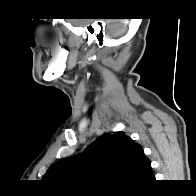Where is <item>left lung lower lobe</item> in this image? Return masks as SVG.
Listing matches in <instances>:
<instances>
[{
    "mask_svg": "<svg viewBox=\"0 0 196 196\" xmlns=\"http://www.w3.org/2000/svg\"><path fill=\"white\" fill-rule=\"evenodd\" d=\"M154 180H155V177L151 170V163L150 161H147L144 164L143 168L141 169L135 183L147 184V183L154 182Z\"/></svg>",
    "mask_w": 196,
    "mask_h": 196,
    "instance_id": "left-lung-lower-lobe-1",
    "label": "left lung lower lobe"
}]
</instances>
